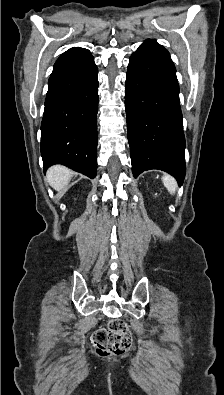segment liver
Masks as SVG:
<instances>
[{
    "label": "liver",
    "mask_w": 224,
    "mask_h": 395,
    "mask_svg": "<svg viewBox=\"0 0 224 395\" xmlns=\"http://www.w3.org/2000/svg\"><path fill=\"white\" fill-rule=\"evenodd\" d=\"M73 177V171L62 165H54L47 171V181L55 190H62Z\"/></svg>",
    "instance_id": "1"
}]
</instances>
